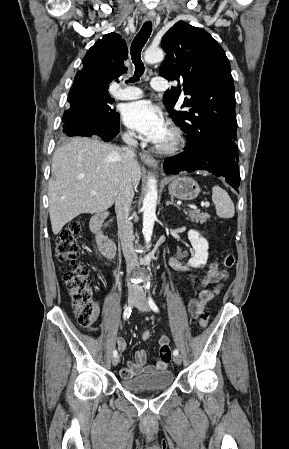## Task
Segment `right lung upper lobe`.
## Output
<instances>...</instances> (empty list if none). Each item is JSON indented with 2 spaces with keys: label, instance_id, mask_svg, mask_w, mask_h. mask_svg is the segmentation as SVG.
<instances>
[{
  "label": "right lung upper lobe",
  "instance_id": "obj_1",
  "mask_svg": "<svg viewBox=\"0 0 289 449\" xmlns=\"http://www.w3.org/2000/svg\"><path fill=\"white\" fill-rule=\"evenodd\" d=\"M127 55V46L119 34L104 35L87 51L82 61L83 69L77 72L74 82L87 87L89 94L108 88L126 72L123 62Z\"/></svg>",
  "mask_w": 289,
  "mask_h": 449
}]
</instances>
